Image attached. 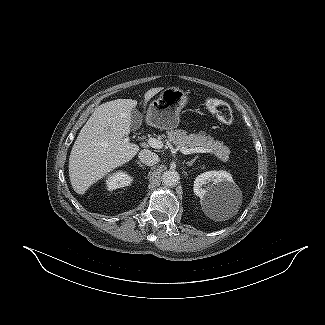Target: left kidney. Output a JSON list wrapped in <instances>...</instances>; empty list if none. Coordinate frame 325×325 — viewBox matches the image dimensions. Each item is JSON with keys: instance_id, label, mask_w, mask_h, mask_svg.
<instances>
[{"instance_id": "obj_1", "label": "left kidney", "mask_w": 325, "mask_h": 325, "mask_svg": "<svg viewBox=\"0 0 325 325\" xmlns=\"http://www.w3.org/2000/svg\"><path fill=\"white\" fill-rule=\"evenodd\" d=\"M194 193L200 198L201 205H217L231 197L237 190L230 173L226 171H208L194 181Z\"/></svg>"}]
</instances>
